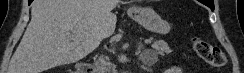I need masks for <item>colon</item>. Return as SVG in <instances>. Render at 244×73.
Masks as SVG:
<instances>
[{"label":"colon","instance_id":"colon-1","mask_svg":"<svg viewBox=\"0 0 244 73\" xmlns=\"http://www.w3.org/2000/svg\"><path fill=\"white\" fill-rule=\"evenodd\" d=\"M191 44L196 54L216 69H222L226 65V56L216 45H213L200 37H192Z\"/></svg>","mask_w":244,"mask_h":73}]
</instances>
